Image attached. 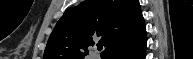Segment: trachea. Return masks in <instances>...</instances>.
I'll return each mask as SVG.
<instances>
[{
  "label": "trachea",
  "mask_w": 193,
  "mask_h": 59,
  "mask_svg": "<svg viewBox=\"0 0 193 59\" xmlns=\"http://www.w3.org/2000/svg\"><path fill=\"white\" fill-rule=\"evenodd\" d=\"M97 49H98L99 51H101V50L103 49V46H102V45H98V46H97Z\"/></svg>",
  "instance_id": "1"
}]
</instances>
